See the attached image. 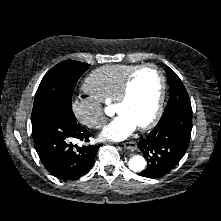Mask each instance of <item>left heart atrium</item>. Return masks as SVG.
Wrapping results in <instances>:
<instances>
[{"mask_svg":"<svg viewBox=\"0 0 221 221\" xmlns=\"http://www.w3.org/2000/svg\"><path fill=\"white\" fill-rule=\"evenodd\" d=\"M137 125L125 114H119L102 131L103 138L119 141L131 135Z\"/></svg>","mask_w":221,"mask_h":221,"instance_id":"39dd6f15","label":"left heart atrium"}]
</instances>
